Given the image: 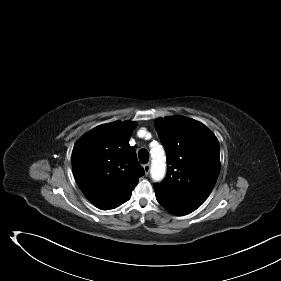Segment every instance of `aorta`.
<instances>
[{
    "mask_svg": "<svg viewBox=\"0 0 281 281\" xmlns=\"http://www.w3.org/2000/svg\"><path fill=\"white\" fill-rule=\"evenodd\" d=\"M151 178L158 182L161 181L166 174V158L164 156V149L160 145H156L151 149Z\"/></svg>",
    "mask_w": 281,
    "mask_h": 281,
    "instance_id": "aorta-1",
    "label": "aorta"
}]
</instances>
